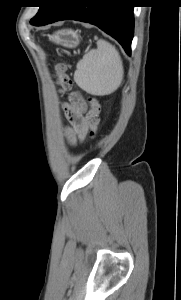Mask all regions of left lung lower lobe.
<instances>
[{
	"label": "left lung lower lobe",
	"instance_id": "1",
	"mask_svg": "<svg viewBox=\"0 0 181 300\" xmlns=\"http://www.w3.org/2000/svg\"><path fill=\"white\" fill-rule=\"evenodd\" d=\"M130 0H55L49 13L37 26L72 19L88 22L115 38L131 55L134 32L133 5Z\"/></svg>",
	"mask_w": 181,
	"mask_h": 300
}]
</instances>
